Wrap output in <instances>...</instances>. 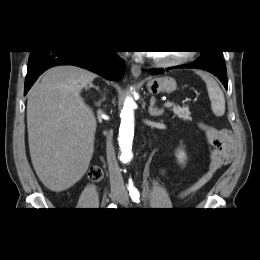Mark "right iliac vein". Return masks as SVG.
Segmentation results:
<instances>
[{
  "mask_svg": "<svg viewBox=\"0 0 260 260\" xmlns=\"http://www.w3.org/2000/svg\"><path fill=\"white\" fill-rule=\"evenodd\" d=\"M121 196L120 192L118 191H113L110 194V198L114 201L117 200Z\"/></svg>",
  "mask_w": 260,
  "mask_h": 260,
  "instance_id": "obj_1",
  "label": "right iliac vein"
}]
</instances>
